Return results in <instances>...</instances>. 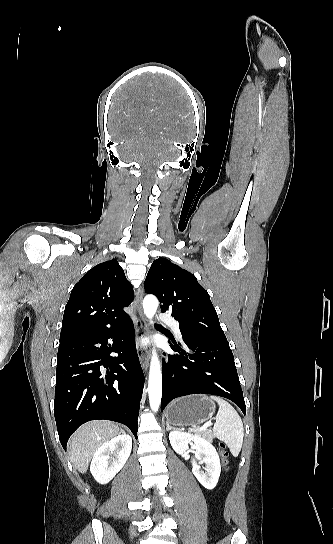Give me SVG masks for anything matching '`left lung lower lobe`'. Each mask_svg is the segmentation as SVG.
Returning a JSON list of instances; mask_svg holds the SVG:
<instances>
[{"label":"left lung lower lobe","mask_w":333,"mask_h":544,"mask_svg":"<svg viewBox=\"0 0 333 544\" xmlns=\"http://www.w3.org/2000/svg\"><path fill=\"white\" fill-rule=\"evenodd\" d=\"M172 341L170 347L179 354L168 358L167 364L163 362L161 411L174 398L203 393L230 399L245 415L243 392L228 341L189 338L183 339L185 348Z\"/></svg>","instance_id":"obj_1"}]
</instances>
